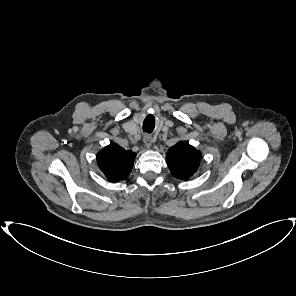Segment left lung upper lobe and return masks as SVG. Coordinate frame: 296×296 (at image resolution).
Segmentation results:
<instances>
[{"label":"left lung upper lobe","instance_id":"1","mask_svg":"<svg viewBox=\"0 0 296 296\" xmlns=\"http://www.w3.org/2000/svg\"><path fill=\"white\" fill-rule=\"evenodd\" d=\"M201 153L189 143L178 142L166 153L167 165L172 175L188 180L198 169Z\"/></svg>","mask_w":296,"mask_h":296}]
</instances>
